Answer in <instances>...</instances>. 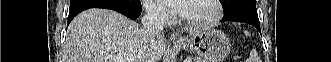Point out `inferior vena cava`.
Masks as SVG:
<instances>
[{"label":"inferior vena cava","mask_w":331,"mask_h":62,"mask_svg":"<svg viewBox=\"0 0 331 62\" xmlns=\"http://www.w3.org/2000/svg\"><path fill=\"white\" fill-rule=\"evenodd\" d=\"M166 14L162 7L149 4L145 7V15L141 19L143 34L147 41L154 42L162 37Z\"/></svg>","instance_id":"1"}]
</instances>
